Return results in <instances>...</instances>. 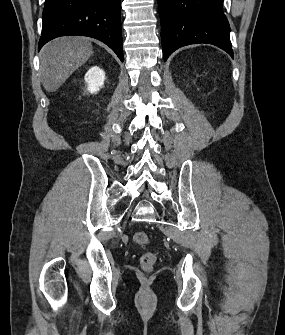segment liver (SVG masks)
Here are the masks:
<instances>
[{
    "mask_svg": "<svg viewBox=\"0 0 285 335\" xmlns=\"http://www.w3.org/2000/svg\"><path fill=\"white\" fill-rule=\"evenodd\" d=\"M92 44L89 38L65 36L56 38L40 52L42 82L47 92H56L67 78L89 60Z\"/></svg>",
    "mask_w": 285,
    "mask_h": 335,
    "instance_id": "1",
    "label": "liver"
}]
</instances>
